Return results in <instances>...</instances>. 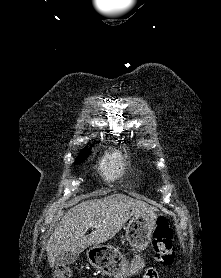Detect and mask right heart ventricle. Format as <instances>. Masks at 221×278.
<instances>
[{"mask_svg": "<svg viewBox=\"0 0 221 278\" xmlns=\"http://www.w3.org/2000/svg\"><path fill=\"white\" fill-rule=\"evenodd\" d=\"M129 166L128 156L122 152L114 151L106 155L101 170L107 179L113 180L125 175Z\"/></svg>", "mask_w": 221, "mask_h": 278, "instance_id": "e07e8e85", "label": "right heart ventricle"}]
</instances>
